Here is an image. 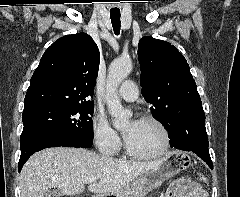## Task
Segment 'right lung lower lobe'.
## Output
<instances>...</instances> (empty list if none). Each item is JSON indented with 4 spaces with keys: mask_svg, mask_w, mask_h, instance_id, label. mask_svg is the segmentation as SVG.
<instances>
[{
    "mask_svg": "<svg viewBox=\"0 0 240 197\" xmlns=\"http://www.w3.org/2000/svg\"><path fill=\"white\" fill-rule=\"evenodd\" d=\"M21 156L18 169L21 171L22 166L29 157L42 149L49 147H77L83 148L73 140H69L62 135L51 132H27L22 133L20 138Z\"/></svg>",
    "mask_w": 240,
    "mask_h": 197,
    "instance_id": "1",
    "label": "right lung lower lobe"
}]
</instances>
